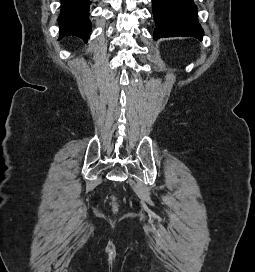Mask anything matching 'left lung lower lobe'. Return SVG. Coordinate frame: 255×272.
<instances>
[{
  "label": "left lung lower lobe",
  "mask_w": 255,
  "mask_h": 272,
  "mask_svg": "<svg viewBox=\"0 0 255 272\" xmlns=\"http://www.w3.org/2000/svg\"><path fill=\"white\" fill-rule=\"evenodd\" d=\"M156 23L154 38L192 36L202 39L203 29L197 21L193 0H152Z\"/></svg>",
  "instance_id": "left-lung-lower-lobe-1"
}]
</instances>
